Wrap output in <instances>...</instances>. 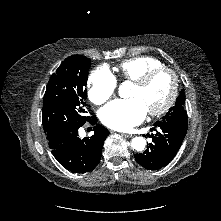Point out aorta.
Returning <instances> with one entry per match:
<instances>
[{
	"mask_svg": "<svg viewBox=\"0 0 221 221\" xmlns=\"http://www.w3.org/2000/svg\"><path fill=\"white\" fill-rule=\"evenodd\" d=\"M131 146L138 152L143 151L146 146V140L143 137H135L132 139Z\"/></svg>",
	"mask_w": 221,
	"mask_h": 221,
	"instance_id": "obj_1",
	"label": "aorta"
}]
</instances>
